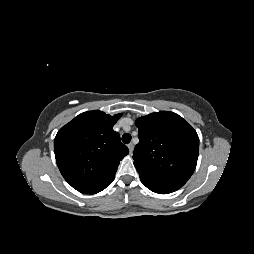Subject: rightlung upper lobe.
Instances as JSON below:
<instances>
[{
  "label": "right lung upper lobe",
  "mask_w": 254,
  "mask_h": 254,
  "mask_svg": "<svg viewBox=\"0 0 254 254\" xmlns=\"http://www.w3.org/2000/svg\"><path fill=\"white\" fill-rule=\"evenodd\" d=\"M120 117L88 111L58 131L54 141L58 168L79 192H92L113 180L119 162L129 153L113 130Z\"/></svg>",
  "instance_id": "cb5924a9"
}]
</instances>
